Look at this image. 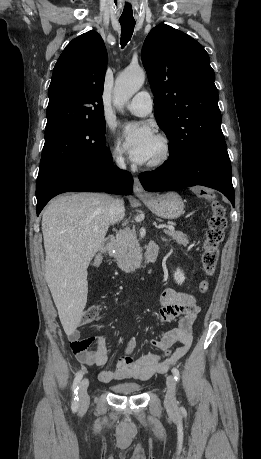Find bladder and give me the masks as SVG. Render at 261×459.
I'll list each match as a JSON object with an SVG mask.
<instances>
[{"label": "bladder", "mask_w": 261, "mask_h": 459, "mask_svg": "<svg viewBox=\"0 0 261 459\" xmlns=\"http://www.w3.org/2000/svg\"><path fill=\"white\" fill-rule=\"evenodd\" d=\"M111 389L119 394H136L141 390L140 384L136 382H120L113 384Z\"/></svg>", "instance_id": "31cf9c89"}]
</instances>
